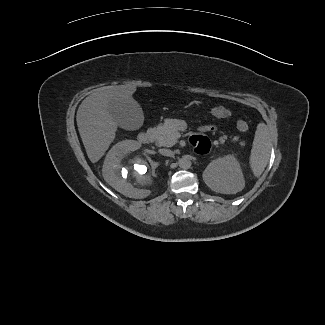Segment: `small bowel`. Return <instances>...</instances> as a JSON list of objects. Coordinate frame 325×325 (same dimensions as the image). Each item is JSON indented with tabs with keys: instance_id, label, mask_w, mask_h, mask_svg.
<instances>
[{
	"instance_id": "obj_1",
	"label": "small bowel",
	"mask_w": 325,
	"mask_h": 325,
	"mask_svg": "<svg viewBox=\"0 0 325 325\" xmlns=\"http://www.w3.org/2000/svg\"><path fill=\"white\" fill-rule=\"evenodd\" d=\"M209 129L210 128L206 126L202 127V130H209ZM190 142L194 152H196L197 154H201V155L206 154L211 149V142L205 136H199V135L192 136Z\"/></svg>"
}]
</instances>
